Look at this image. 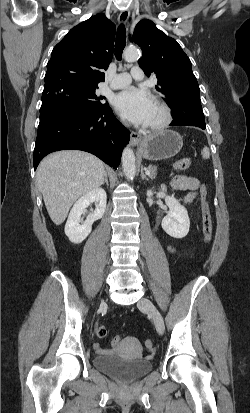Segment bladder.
Masks as SVG:
<instances>
[{
    "label": "bladder",
    "mask_w": 250,
    "mask_h": 413,
    "mask_svg": "<svg viewBox=\"0 0 250 413\" xmlns=\"http://www.w3.org/2000/svg\"><path fill=\"white\" fill-rule=\"evenodd\" d=\"M94 366L121 382H132L149 373L152 362L141 358H124L117 355H98Z\"/></svg>",
    "instance_id": "1"
}]
</instances>
